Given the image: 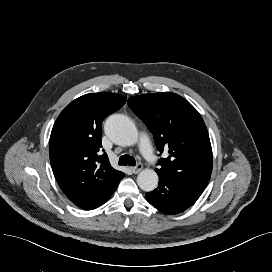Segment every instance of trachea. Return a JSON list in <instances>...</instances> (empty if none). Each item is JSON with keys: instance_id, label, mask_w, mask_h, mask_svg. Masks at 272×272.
Masks as SVG:
<instances>
[{"instance_id": "3493384b", "label": "trachea", "mask_w": 272, "mask_h": 272, "mask_svg": "<svg viewBox=\"0 0 272 272\" xmlns=\"http://www.w3.org/2000/svg\"><path fill=\"white\" fill-rule=\"evenodd\" d=\"M136 161L134 159V157L130 156V155H122L119 158V165H128V166H135Z\"/></svg>"}]
</instances>
